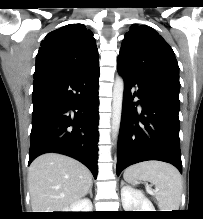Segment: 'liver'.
Wrapping results in <instances>:
<instances>
[{
	"instance_id": "6515ba94",
	"label": "liver",
	"mask_w": 203,
	"mask_h": 219,
	"mask_svg": "<svg viewBox=\"0 0 203 219\" xmlns=\"http://www.w3.org/2000/svg\"><path fill=\"white\" fill-rule=\"evenodd\" d=\"M28 184L33 212H63L86 195L92 174L71 157L47 153L31 163Z\"/></svg>"
}]
</instances>
